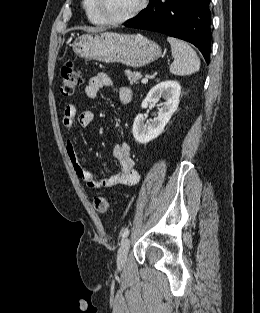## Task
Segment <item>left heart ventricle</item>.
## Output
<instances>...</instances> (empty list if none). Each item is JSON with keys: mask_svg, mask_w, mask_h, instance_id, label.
I'll return each mask as SVG.
<instances>
[{"mask_svg": "<svg viewBox=\"0 0 260 313\" xmlns=\"http://www.w3.org/2000/svg\"><path fill=\"white\" fill-rule=\"evenodd\" d=\"M138 0H101L104 13L110 18L127 15L136 6Z\"/></svg>", "mask_w": 260, "mask_h": 313, "instance_id": "obj_1", "label": "left heart ventricle"}]
</instances>
